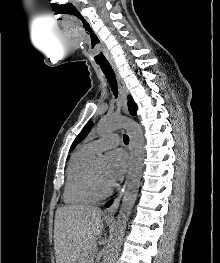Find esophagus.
Segmentation results:
<instances>
[{
  "label": "esophagus",
  "mask_w": 220,
  "mask_h": 263,
  "mask_svg": "<svg viewBox=\"0 0 220 263\" xmlns=\"http://www.w3.org/2000/svg\"><path fill=\"white\" fill-rule=\"evenodd\" d=\"M112 67H113V70H114V72L116 74L117 82H118V85H119L120 94H121V102H122V105H123V110H124V112L126 114H128V106H127L128 90H127V87H126L125 82H124L123 78L121 77L118 69L116 68V66L113 65ZM129 149H130V153H131V150H132V141H131V139H130ZM128 180H129V172H128V175H127V178H126V181H125L123 187L118 192V194L115 197L112 205L110 207H108L104 211V215L106 217H114L115 213L117 212L118 207L120 205L121 198H122L123 194L125 193L126 187L128 185Z\"/></svg>",
  "instance_id": "34e87169"
}]
</instances>
